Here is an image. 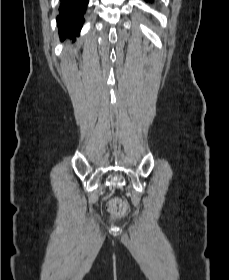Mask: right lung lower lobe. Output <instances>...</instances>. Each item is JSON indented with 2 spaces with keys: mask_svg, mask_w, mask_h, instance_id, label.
<instances>
[{
  "mask_svg": "<svg viewBox=\"0 0 229 280\" xmlns=\"http://www.w3.org/2000/svg\"><path fill=\"white\" fill-rule=\"evenodd\" d=\"M59 15L57 24L59 27V35L63 40L69 37L75 40L79 35L82 23L84 22L83 15L85 13L88 0H60Z\"/></svg>",
  "mask_w": 229,
  "mask_h": 280,
  "instance_id": "1",
  "label": "right lung lower lobe"
}]
</instances>
